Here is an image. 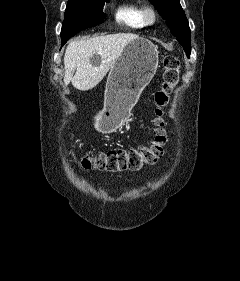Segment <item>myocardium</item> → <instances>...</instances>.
Returning a JSON list of instances; mask_svg holds the SVG:
<instances>
[{"label":"myocardium","instance_id":"f54148a6","mask_svg":"<svg viewBox=\"0 0 240 281\" xmlns=\"http://www.w3.org/2000/svg\"><path fill=\"white\" fill-rule=\"evenodd\" d=\"M141 15L145 25H153L157 22L158 14L152 6H144L141 9Z\"/></svg>","mask_w":240,"mask_h":281}]
</instances>
